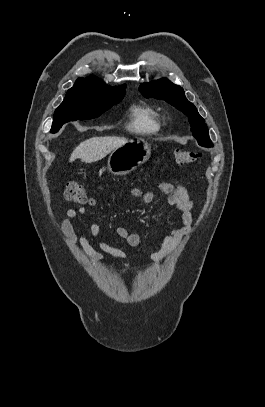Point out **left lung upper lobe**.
I'll return each instance as SVG.
<instances>
[{"instance_id": "obj_1", "label": "left lung upper lobe", "mask_w": 265, "mask_h": 407, "mask_svg": "<svg viewBox=\"0 0 265 407\" xmlns=\"http://www.w3.org/2000/svg\"><path fill=\"white\" fill-rule=\"evenodd\" d=\"M139 91L147 98L163 99L182 111L188 117L191 131L198 144L204 147H213L205 120L199 115L196 107L186 99L185 93L180 86L162 78L150 83H142Z\"/></svg>"}]
</instances>
